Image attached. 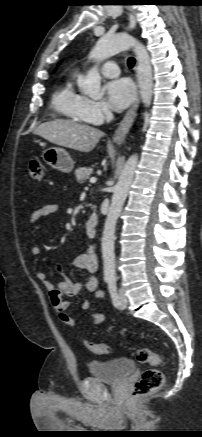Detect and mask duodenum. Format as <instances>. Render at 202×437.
<instances>
[{
	"mask_svg": "<svg viewBox=\"0 0 202 437\" xmlns=\"http://www.w3.org/2000/svg\"><path fill=\"white\" fill-rule=\"evenodd\" d=\"M98 215L92 212L85 224V231L88 237L94 238L97 235Z\"/></svg>",
	"mask_w": 202,
	"mask_h": 437,
	"instance_id": "1",
	"label": "duodenum"
}]
</instances>
